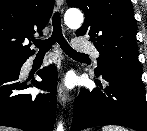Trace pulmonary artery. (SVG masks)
I'll return each mask as SVG.
<instances>
[{
    "instance_id": "pulmonary-artery-1",
    "label": "pulmonary artery",
    "mask_w": 147,
    "mask_h": 131,
    "mask_svg": "<svg viewBox=\"0 0 147 131\" xmlns=\"http://www.w3.org/2000/svg\"><path fill=\"white\" fill-rule=\"evenodd\" d=\"M73 47L78 52L90 53V54H92V56L94 58L99 57V52L97 51V49L91 43L85 42V41L80 40V39H76V40L73 41Z\"/></svg>"
}]
</instances>
